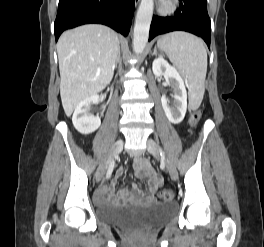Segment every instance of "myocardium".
<instances>
[{
  "label": "myocardium",
  "instance_id": "obj_1",
  "mask_svg": "<svg viewBox=\"0 0 264 247\" xmlns=\"http://www.w3.org/2000/svg\"><path fill=\"white\" fill-rule=\"evenodd\" d=\"M177 7V0H164L159 7V11L163 14H169L174 12Z\"/></svg>",
  "mask_w": 264,
  "mask_h": 247
}]
</instances>
